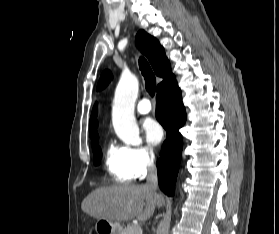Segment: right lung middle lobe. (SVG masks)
Segmentation results:
<instances>
[{"label": "right lung middle lobe", "instance_id": "dd1d6c3e", "mask_svg": "<svg viewBox=\"0 0 279 234\" xmlns=\"http://www.w3.org/2000/svg\"><path fill=\"white\" fill-rule=\"evenodd\" d=\"M98 140L92 145V150H93V155H94V164L98 165L100 163L101 160V149L100 147L97 145Z\"/></svg>", "mask_w": 279, "mask_h": 234}]
</instances>
